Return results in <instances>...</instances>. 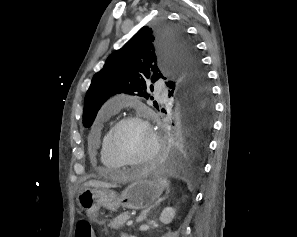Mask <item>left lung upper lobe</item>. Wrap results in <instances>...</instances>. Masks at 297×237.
I'll return each mask as SVG.
<instances>
[{"mask_svg":"<svg viewBox=\"0 0 297 237\" xmlns=\"http://www.w3.org/2000/svg\"><path fill=\"white\" fill-rule=\"evenodd\" d=\"M160 78L175 92V103L187 100L203 106L211 102L200 59L184 32L167 23L144 26L94 75L84 101V126L92 125L110 96L126 93L148 99L147 87L152 91V83ZM154 106L158 107L156 102Z\"/></svg>","mask_w":297,"mask_h":237,"instance_id":"1","label":"left lung upper lobe"}]
</instances>
